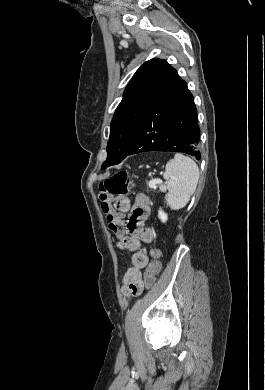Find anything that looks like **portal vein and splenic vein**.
I'll use <instances>...</instances> for the list:
<instances>
[{
  "label": "portal vein and splenic vein",
  "instance_id": "18ae733b",
  "mask_svg": "<svg viewBox=\"0 0 265 390\" xmlns=\"http://www.w3.org/2000/svg\"><path fill=\"white\" fill-rule=\"evenodd\" d=\"M157 183H162V181H161V180L150 181V182H149V187H151V188H156V184H157ZM161 190H165V188H161Z\"/></svg>",
  "mask_w": 265,
  "mask_h": 390
}]
</instances>
